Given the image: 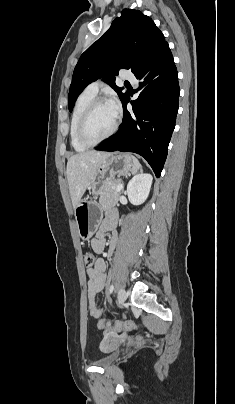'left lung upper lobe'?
<instances>
[{
    "label": "left lung upper lobe",
    "mask_w": 235,
    "mask_h": 404,
    "mask_svg": "<svg viewBox=\"0 0 235 404\" xmlns=\"http://www.w3.org/2000/svg\"><path fill=\"white\" fill-rule=\"evenodd\" d=\"M166 44L150 17L138 10L124 9L108 31L81 55L69 90V110L83 89L98 78H104L123 102L128 93L116 86L114 75L122 68L137 72Z\"/></svg>",
    "instance_id": "left-lung-upper-lobe-1"
}]
</instances>
